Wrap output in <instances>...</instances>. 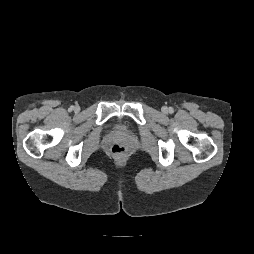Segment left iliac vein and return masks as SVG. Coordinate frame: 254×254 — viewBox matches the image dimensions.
Segmentation results:
<instances>
[{"label":"left iliac vein","mask_w":254,"mask_h":254,"mask_svg":"<svg viewBox=\"0 0 254 254\" xmlns=\"http://www.w3.org/2000/svg\"><path fill=\"white\" fill-rule=\"evenodd\" d=\"M163 111H164V112H166V111H167V109H166V108H163Z\"/></svg>","instance_id":"1"}]
</instances>
